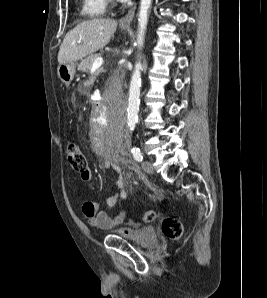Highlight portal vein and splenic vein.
<instances>
[{
  "label": "portal vein and splenic vein",
  "instance_id": "1",
  "mask_svg": "<svg viewBox=\"0 0 267 298\" xmlns=\"http://www.w3.org/2000/svg\"><path fill=\"white\" fill-rule=\"evenodd\" d=\"M78 43H81V40H79ZM102 64H103V58L102 57H97L93 62L92 68L93 69H98L102 66Z\"/></svg>",
  "mask_w": 267,
  "mask_h": 298
}]
</instances>
